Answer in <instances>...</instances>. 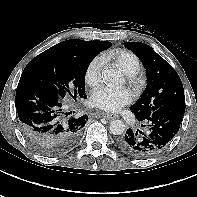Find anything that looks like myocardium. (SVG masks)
I'll use <instances>...</instances> for the list:
<instances>
[{
	"label": "myocardium",
	"mask_w": 197,
	"mask_h": 197,
	"mask_svg": "<svg viewBox=\"0 0 197 197\" xmlns=\"http://www.w3.org/2000/svg\"><path fill=\"white\" fill-rule=\"evenodd\" d=\"M128 81H129V83L131 84V86H132L136 91H140L141 85H142V80H141V78L138 76V74L129 75V76H128Z\"/></svg>",
	"instance_id": "myocardium-1"
}]
</instances>
